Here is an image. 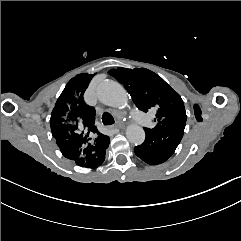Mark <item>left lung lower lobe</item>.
<instances>
[{"mask_svg": "<svg viewBox=\"0 0 241 241\" xmlns=\"http://www.w3.org/2000/svg\"><path fill=\"white\" fill-rule=\"evenodd\" d=\"M184 128H174L146 132L143 144L134 148L135 154L151 165L165 162L176 150L180 143Z\"/></svg>", "mask_w": 241, "mask_h": 241, "instance_id": "obj_1", "label": "left lung lower lobe"}]
</instances>
